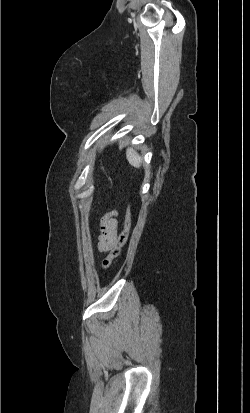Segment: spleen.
Segmentation results:
<instances>
[{
    "label": "spleen",
    "mask_w": 250,
    "mask_h": 413,
    "mask_svg": "<svg viewBox=\"0 0 250 413\" xmlns=\"http://www.w3.org/2000/svg\"><path fill=\"white\" fill-rule=\"evenodd\" d=\"M126 157L130 165H132L135 168H139L142 162L141 157L139 154L133 149V148H128L126 151Z\"/></svg>",
    "instance_id": "spleen-1"
}]
</instances>
